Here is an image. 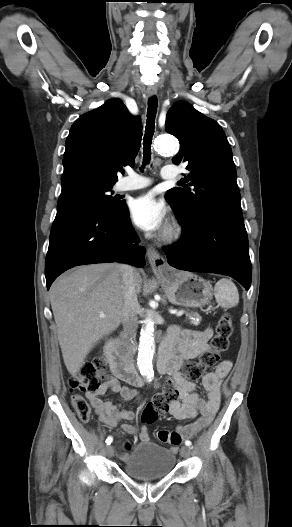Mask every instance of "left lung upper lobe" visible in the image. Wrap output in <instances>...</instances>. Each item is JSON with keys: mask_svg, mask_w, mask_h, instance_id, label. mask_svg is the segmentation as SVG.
Returning a JSON list of instances; mask_svg holds the SVG:
<instances>
[{"mask_svg": "<svg viewBox=\"0 0 292 527\" xmlns=\"http://www.w3.org/2000/svg\"><path fill=\"white\" fill-rule=\"evenodd\" d=\"M165 129L180 142L172 162L185 163L189 171L184 180L188 184L166 194L180 225L208 215L242 216L232 150L221 126L180 101L169 109Z\"/></svg>", "mask_w": 292, "mask_h": 527, "instance_id": "left-lung-upper-lobe-1", "label": "left lung upper lobe"}]
</instances>
